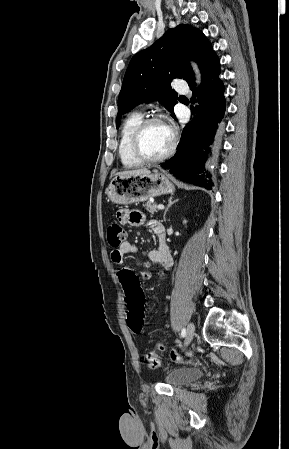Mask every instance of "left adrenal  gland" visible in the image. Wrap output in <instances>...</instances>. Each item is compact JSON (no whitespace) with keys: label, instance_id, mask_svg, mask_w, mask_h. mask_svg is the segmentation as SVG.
I'll return each instance as SVG.
<instances>
[{"label":"left adrenal gland","instance_id":"left-adrenal-gland-1","mask_svg":"<svg viewBox=\"0 0 289 449\" xmlns=\"http://www.w3.org/2000/svg\"><path fill=\"white\" fill-rule=\"evenodd\" d=\"M177 201H178V199L173 200L172 197H170V198L168 199V206H167V208L165 209V212H164V215H163L164 221H166L165 216H166L167 211H168L169 208H170L174 203H176Z\"/></svg>","mask_w":289,"mask_h":449}]
</instances>
